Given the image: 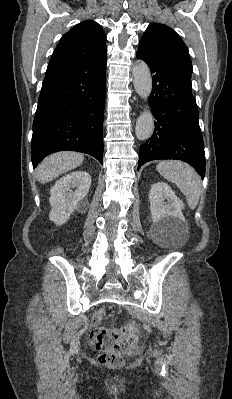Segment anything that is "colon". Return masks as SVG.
Segmentation results:
<instances>
[{"label": "colon", "instance_id": "5ec220e1", "mask_svg": "<svg viewBox=\"0 0 232 399\" xmlns=\"http://www.w3.org/2000/svg\"><path fill=\"white\" fill-rule=\"evenodd\" d=\"M140 321H129L128 326H97L92 330L97 353H100L102 365H125V358H114L115 353H132L135 334L140 328Z\"/></svg>", "mask_w": 232, "mask_h": 399}]
</instances>
